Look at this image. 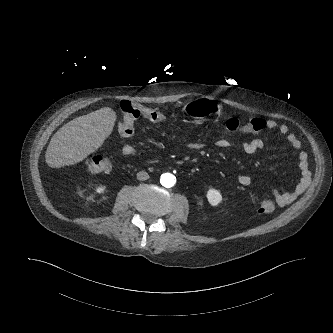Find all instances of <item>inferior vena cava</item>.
<instances>
[{"mask_svg":"<svg viewBox=\"0 0 333 333\" xmlns=\"http://www.w3.org/2000/svg\"><path fill=\"white\" fill-rule=\"evenodd\" d=\"M137 179L141 180V181H145V180L149 179V175L145 171H140L137 173Z\"/></svg>","mask_w":333,"mask_h":333,"instance_id":"1","label":"inferior vena cava"}]
</instances>
